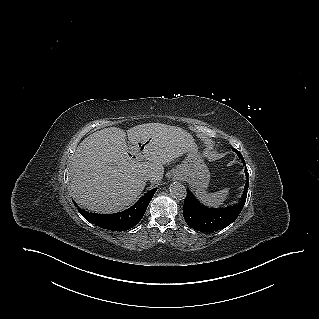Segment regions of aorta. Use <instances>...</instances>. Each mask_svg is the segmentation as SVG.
Wrapping results in <instances>:
<instances>
[{"mask_svg": "<svg viewBox=\"0 0 319 319\" xmlns=\"http://www.w3.org/2000/svg\"><path fill=\"white\" fill-rule=\"evenodd\" d=\"M169 190L171 195L176 199H184L187 194L186 187L179 182L172 183Z\"/></svg>", "mask_w": 319, "mask_h": 319, "instance_id": "obj_1", "label": "aorta"}]
</instances>
